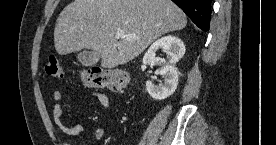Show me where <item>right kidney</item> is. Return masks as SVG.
I'll return each instance as SVG.
<instances>
[{
  "label": "right kidney",
  "instance_id": "right-kidney-1",
  "mask_svg": "<svg viewBox=\"0 0 276 145\" xmlns=\"http://www.w3.org/2000/svg\"><path fill=\"white\" fill-rule=\"evenodd\" d=\"M162 49L167 58L156 57V51ZM185 45L181 39L175 36H165L156 40L148 49L143 57V69L147 64L161 66L156 74L162 75L164 82L161 85H155L152 81L146 82V90L155 100H164L174 93L178 84V72L175 64L185 54Z\"/></svg>",
  "mask_w": 276,
  "mask_h": 145
}]
</instances>
